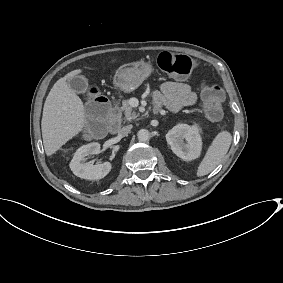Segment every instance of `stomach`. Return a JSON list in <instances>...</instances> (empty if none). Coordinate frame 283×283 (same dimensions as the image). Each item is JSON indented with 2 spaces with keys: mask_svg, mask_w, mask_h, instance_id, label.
I'll list each match as a JSON object with an SVG mask.
<instances>
[{
  "mask_svg": "<svg viewBox=\"0 0 283 283\" xmlns=\"http://www.w3.org/2000/svg\"><path fill=\"white\" fill-rule=\"evenodd\" d=\"M153 70L151 63L144 60L124 64L116 71L114 84L125 93L132 92L151 75Z\"/></svg>",
  "mask_w": 283,
  "mask_h": 283,
  "instance_id": "stomach-1",
  "label": "stomach"
}]
</instances>
